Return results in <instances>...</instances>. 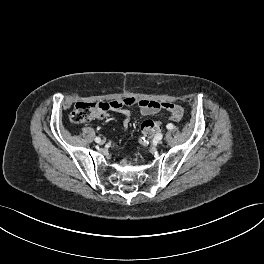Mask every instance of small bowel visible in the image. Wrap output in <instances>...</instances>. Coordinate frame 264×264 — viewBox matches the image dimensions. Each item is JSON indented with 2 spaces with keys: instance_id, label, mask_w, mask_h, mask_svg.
Wrapping results in <instances>:
<instances>
[{
  "instance_id": "c3829d8e",
  "label": "small bowel",
  "mask_w": 264,
  "mask_h": 264,
  "mask_svg": "<svg viewBox=\"0 0 264 264\" xmlns=\"http://www.w3.org/2000/svg\"><path fill=\"white\" fill-rule=\"evenodd\" d=\"M133 99V104L130 106H137L139 108V113L143 116H151L158 113L161 110H166L171 114V120L180 121L183 117V109L180 105L172 102H160L153 100H136ZM123 116V125L127 127L129 125L132 113L126 108L122 107L117 109Z\"/></svg>"
}]
</instances>
